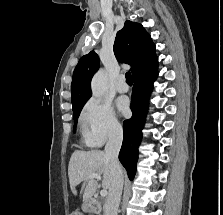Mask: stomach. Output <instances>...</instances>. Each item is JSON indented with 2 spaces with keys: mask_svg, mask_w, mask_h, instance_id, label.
Returning <instances> with one entry per match:
<instances>
[{
  "mask_svg": "<svg viewBox=\"0 0 223 215\" xmlns=\"http://www.w3.org/2000/svg\"><path fill=\"white\" fill-rule=\"evenodd\" d=\"M91 207H92V201L84 202L82 205V209H84V211H91Z\"/></svg>",
  "mask_w": 223,
  "mask_h": 215,
  "instance_id": "1",
  "label": "stomach"
}]
</instances>
